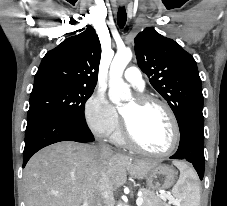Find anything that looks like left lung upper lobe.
I'll use <instances>...</instances> for the list:
<instances>
[{"label":"left lung upper lobe","instance_id":"1","mask_svg":"<svg viewBox=\"0 0 227 206\" xmlns=\"http://www.w3.org/2000/svg\"><path fill=\"white\" fill-rule=\"evenodd\" d=\"M134 42L139 67L167 100L180 131L191 121L204 124L202 84L193 56L154 28H145Z\"/></svg>","mask_w":227,"mask_h":206}]
</instances>
